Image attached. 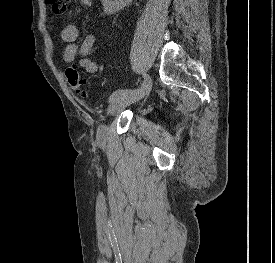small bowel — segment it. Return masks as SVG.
<instances>
[{
	"mask_svg": "<svg viewBox=\"0 0 275 263\" xmlns=\"http://www.w3.org/2000/svg\"><path fill=\"white\" fill-rule=\"evenodd\" d=\"M92 0H79L82 8H90ZM62 40L67 44L63 52V60L72 63L78 58V65L89 74L99 71V64L89 58L95 44V36L87 35L81 42L78 41L79 30L74 24H67L61 30Z\"/></svg>",
	"mask_w": 275,
	"mask_h": 263,
	"instance_id": "obj_1",
	"label": "small bowel"
}]
</instances>
